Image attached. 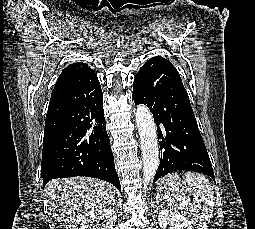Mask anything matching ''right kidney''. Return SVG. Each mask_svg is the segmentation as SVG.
I'll list each match as a JSON object with an SVG mask.
<instances>
[{
    "instance_id": "right-kidney-1",
    "label": "right kidney",
    "mask_w": 255,
    "mask_h": 229,
    "mask_svg": "<svg viewBox=\"0 0 255 229\" xmlns=\"http://www.w3.org/2000/svg\"><path fill=\"white\" fill-rule=\"evenodd\" d=\"M102 220H104L105 224L101 227V229H114L117 214L111 208H104L93 212L89 217L82 220L80 229H99L98 223Z\"/></svg>"
}]
</instances>
